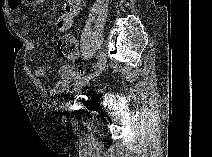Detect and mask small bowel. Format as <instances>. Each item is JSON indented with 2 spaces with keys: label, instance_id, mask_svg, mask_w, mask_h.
Returning <instances> with one entry per match:
<instances>
[{
  "label": "small bowel",
  "instance_id": "1",
  "mask_svg": "<svg viewBox=\"0 0 212 157\" xmlns=\"http://www.w3.org/2000/svg\"><path fill=\"white\" fill-rule=\"evenodd\" d=\"M8 7L12 10H19L25 4L22 0H8ZM81 8V2L79 0H66L64 3V9L62 14L57 19V29L61 32L69 30L72 26L75 16L79 13ZM28 48L33 50L35 48V42L29 41ZM75 67L64 64L59 69V79L52 89L53 93H60L65 91L69 87V83L77 77ZM34 76L41 79L47 74V67L45 65H39L34 69Z\"/></svg>",
  "mask_w": 212,
  "mask_h": 157
}]
</instances>
